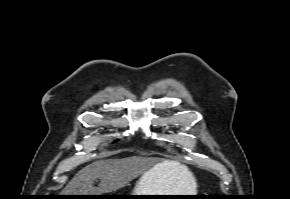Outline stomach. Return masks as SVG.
Returning a JSON list of instances; mask_svg holds the SVG:
<instances>
[{"label":"stomach","mask_w":290,"mask_h":199,"mask_svg":"<svg viewBox=\"0 0 290 199\" xmlns=\"http://www.w3.org/2000/svg\"><path fill=\"white\" fill-rule=\"evenodd\" d=\"M158 166L153 167L148 172L143 174L137 182L133 193L130 195H173L171 191L167 189V185L164 180L159 177ZM133 198L142 199L144 196H134ZM152 199H164L160 197H154ZM171 199H180L179 197H172Z\"/></svg>","instance_id":"1"}]
</instances>
